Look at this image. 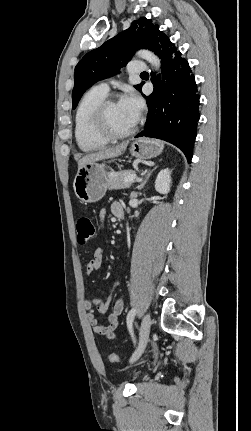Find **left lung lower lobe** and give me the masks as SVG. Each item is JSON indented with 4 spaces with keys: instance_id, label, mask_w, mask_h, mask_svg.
<instances>
[{
    "instance_id": "obj_1",
    "label": "left lung lower lobe",
    "mask_w": 251,
    "mask_h": 431,
    "mask_svg": "<svg viewBox=\"0 0 251 431\" xmlns=\"http://www.w3.org/2000/svg\"><path fill=\"white\" fill-rule=\"evenodd\" d=\"M161 59L162 80L153 75L154 91L145 97L148 116L144 130L136 137H154L180 148L191 162L196 126L200 118L197 86L188 62L168 37L153 45ZM144 84V83H143Z\"/></svg>"
}]
</instances>
